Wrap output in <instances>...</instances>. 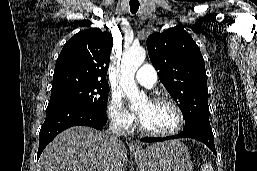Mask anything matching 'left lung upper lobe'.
Listing matches in <instances>:
<instances>
[{
  "instance_id": "obj_1",
  "label": "left lung upper lobe",
  "mask_w": 257,
  "mask_h": 171,
  "mask_svg": "<svg viewBox=\"0 0 257 171\" xmlns=\"http://www.w3.org/2000/svg\"><path fill=\"white\" fill-rule=\"evenodd\" d=\"M150 60L185 118V128H211L205 63L192 37L184 29L170 28L147 38Z\"/></svg>"
}]
</instances>
